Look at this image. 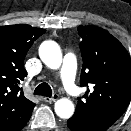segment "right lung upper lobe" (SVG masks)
<instances>
[{
    "label": "right lung upper lobe",
    "instance_id": "cb5924a9",
    "mask_svg": "<svg viewBox=\"0 0 131 131\" xmlns=\"http://www.w3.org/2000/svg\"><path fill=\"white\" fill-rule=\"evenodd\" d=\"M46 30L27 24L0 27V131H20L35 104L19 87L26 77L24 58Z\"/></svg>",
    "mask_w": 131,
    "mask_h": 131
}]
</instances>
